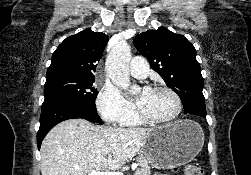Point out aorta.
<instances>
[{"label":"aorta","instance_id":"aorta-1","mask_svg":"<svg viewBox=\"0 0 251 175\" xmlns=\"http://www.w3.org/2000/svg\"><path fill=\"white\" fill-rule=\"evenodd\" d=\"M131 60L130 46L124 44H116L110 50L106 60V72L113 84L118 88L128 89L130 86L129 64ZM133 88V86H131ZM131 88L129 91H131ZM138 89V88H135Z\"/></svg>","mask_w":251,"mask_h":175}]
</instances>
